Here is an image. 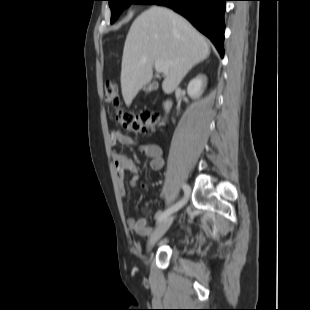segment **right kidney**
<instances>
[{"instance_id":"right-kidney-1","label":"right kidney","mask_w":310,"mask_h":310,"mask_svg":"<svg viewBox=\"0 0 310 310\" xmlns=\"http://www.w3.org/2000/svg\"><path fill=\"white\" fill-rule=\"evenodd\" d=\"M206 84V79L202 75H198L192 79L187 86V93L191 98L198 97Z\"/></svg>"}]
</instances>
